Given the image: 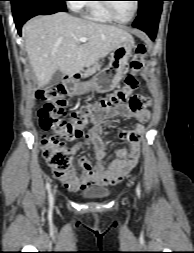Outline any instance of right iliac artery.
<instances>
[{"mask_svg": "<svg viewBox=\"0 0 194 253\" xmlns=\"http://www.w3.org/2000/svg\"><path fill=\"white\" fill-rule=\"evenodd\" d=\"M46 189L48 191L49 204H50V207L52 208L54 200H53V195L51 193V185L49 182L46 183Z\"/></svg>", "mask_w": 194, "mask_h": 253, "instance_id": "82829eb1", "label": "right iliac artery"}]
</instances>
